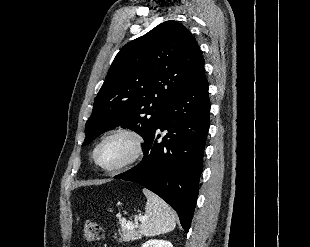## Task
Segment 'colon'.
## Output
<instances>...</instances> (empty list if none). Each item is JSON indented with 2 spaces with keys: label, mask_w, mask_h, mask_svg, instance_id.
Wrapping results in <instances>:
<instances>
[{
  "label": "colon",
  "mask_w": 310,
  "mask_h": 247,
  "mask_svg": "<svg viewBox=\"0 0 310 247\" xmlns=\"http://www.w3.org/2000/svg\"><path fill=\"white\" fill-rule=\"evenodd\" d=\"M103 230L101 226L92 220H87L84 226V238L89 242H96L102 239Z\"/></svg>",
  "instance_id": "colon-1"
}]
</instances>
